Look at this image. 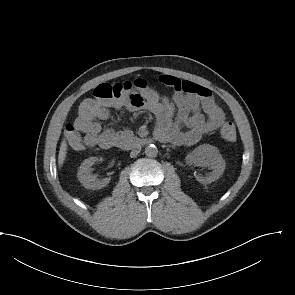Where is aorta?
<instances>
[{
    "mask_svg": "<svg viewBox=\"0 0 295 295\" xmlns=\"http://www.w3.org/2000/svg\"><path fill=\"white\" fill-rule=\"evenodd\" d=\"M145 154L150 158L156 157L158 155V149L155 145L151 144L145 148Z\"/></svg>",
    "mask_w": 295,
    "mask_h": 295,
    "instance_id": "1",
    "label": "aorta"
}]
</instances>
